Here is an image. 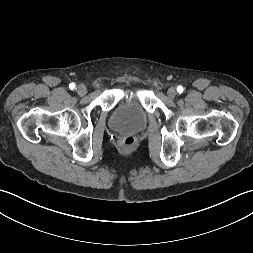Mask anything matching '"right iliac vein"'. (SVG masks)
<instances>
[{"label": "right iliac vein", "mask_w": 253, "mask_h": 253, "mask_svg": "<svg viewBox=\"0 0 253 253\" xmlns=\"http://www.w3.org/2000/svg\"><path fill=\"white\" fill-rule=\"evenodd\" d=\"M76 91L78 93V95L80 96H84L87 93V88L85 85L80 84L78 85V87L76 88Z\"/></svg>", "instance_id": "63e3f726"}]
</instances>
